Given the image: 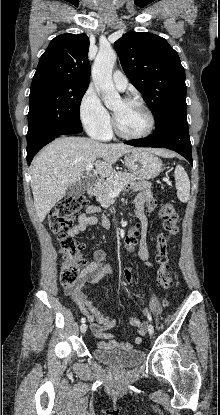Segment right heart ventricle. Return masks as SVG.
Here are the masks:
<instances>
[{
  "label": "right heart ventricle",
  "mask_w": 220,
  "mask_h": 415,
  "mask_svg": "<svg viewBox=\"0 0 220 415\" xmlns=\"http://www.w3.org/2000/svg\"><path fill=\"white\" fill-rule=\"evenodd\" d=\"M109 136H110V133L105 138L107 139ZM105 138H103V139H105Z\"/></svg>",
  "instance_id": "right-heart-ventricle-1"
}]
</instances>
